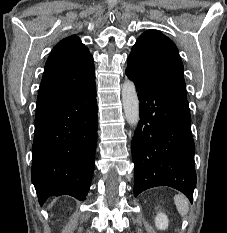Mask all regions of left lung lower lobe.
Wrapping results in <instances>:
<instances>
[{
    "mask_svg": "<svg viewBox=\"0 0 227 233\" xmlns=\"http://www.w3.org/2000/svg\"><path fill=\"white\" fill-rule=\"evenodd\" d=\"M126 75L136 84L141 110L132 139L134 195L152 187L170 186L192 202L195 144L187 99Z\"/></svg>",
    "mask_w": 227,
    "mask_h": 233,
    "instance_id": "1",
    "label": "left lung lower lobe"
}]
</instances>
